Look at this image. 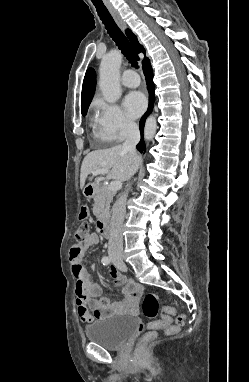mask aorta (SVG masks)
Listing matches in <instances>:
<instances>
[{
    "label": "aorta",
    "instance_id": "762f6f07",
    "mask_svg": "<svg viewBox=\"0 0 249 382\" xmlns=\"http://www.w3.org/2000/svg\"><path fill=\"white\" fill-rule=\"evenodd\" d=\"M122 63V53L119 50H111L102 58L99 68V87L104 99L109 103H115L121 97V87L119 83L120 66ZM157 130L155 116H149L145 123L144 138L152 140Z\"/></svg>",
    "mask_w": 249,
    "mask_h": 382
}]
</instances>
